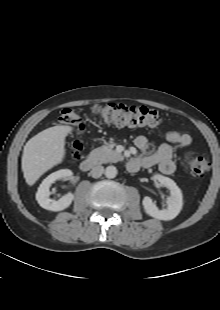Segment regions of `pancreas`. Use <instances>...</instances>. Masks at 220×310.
Masks as SVG:
<instances>
[{
  "label": "pancreas",
  "instance_id": "cf45deb5",
  "mask_svg": "<svg viewBox=\"0 0 220 310\" xmlns=\"http://www.w3.org/2000/svg\"><path fill=\"white\" fill-rule=\"evenodd\" d=\"M89 159L96 164H103L107 162H117L123 159V156L113 150L110 146H101L92 150L89 154Z\"/></svg>",
  "mask_w": 220,
  "mask_h": 310
}]
</instances>
